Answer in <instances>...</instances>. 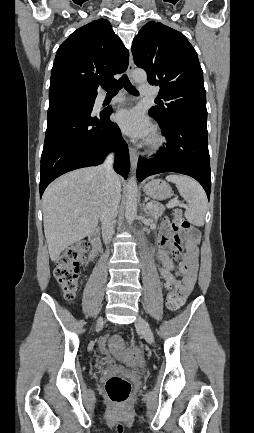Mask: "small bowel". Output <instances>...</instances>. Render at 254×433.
Listing matches in <instances>:
<instances>
[{
    "mask_svg": "<svg viewBox=\"0 0 254 433\" xmlns=\"http://www.w3.org/2000/svg\"><path fill=\"white\" fill-rule=\"evenodd\" d=\"M198 234L195 236L185 233H175L168 222H164L158 235V259L161 261L160 275L168 289H176L182 302L192 291L198 267ZM173 257L181 259L179 267H176ZM99 348L103 353L107 352L105 341H101ZM129 352L138 353L134 346L129 347Z\"/></svg>",
    "mask_w": 254,
    "mask_h": 433,
    "instance_id": "small-bowel-1",
    "label": "small bowel"
}]
</instances>
